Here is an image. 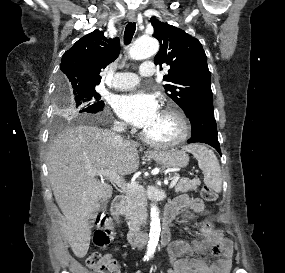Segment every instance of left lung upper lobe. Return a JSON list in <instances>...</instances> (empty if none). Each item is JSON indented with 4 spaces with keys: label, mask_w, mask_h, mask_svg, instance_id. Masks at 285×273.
<instances>
[{
    "label": "left lung upper lobe",
    "mask_w": 285,
    "mask_h": 273,
    "mask_svg": "<svg viewBox=\"0 0 285 273\" xmlns=\"http://www.w3.org/2000/svg\"><path fill=\"white\" fill-rule=\"evenodd\" d=\"M153 36L160 42L155 64L170 67L163 80L166 94L186 114L194 109L213 107L210 72L201 43L183 30L152 17Z\"/></svg>",
    "instance_id": "5c2ea615"
}]
</instances>
